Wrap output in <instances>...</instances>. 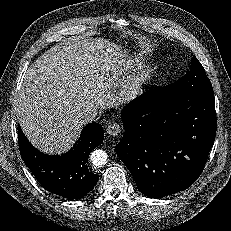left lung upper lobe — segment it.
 Listing matches in <instances>:
<instances>
[{"label":"left lung upper lobe","instance_id":"obj_1","mask_svg":"<svg viewBox=\"0 0 231 231\" xmlns=\"http://www.w3.org/2000/svg\"><path fill=\"white\" fill-rule=\"evenodd\" d=\"M193 91L213 92L211 82L207 77L203 66L195 56L192 58L190 71L183 77L172 84L155 88L154 90L157 98H166Z\"/></svg>","mask_w":231,"mask_h":231}]
</instances>
